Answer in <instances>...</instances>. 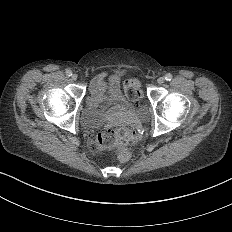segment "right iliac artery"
<instances>
[{
	"instance_id": "obj_1",
	"label": "right iliac artery",
	"mask_w": 232,
	"mask_h": 232,
	"mask_svg": "<svg viewBox=\"0 0 232 232\" xmlns=\"http://www.w3.org/2000/svg\"><path fill=\"white\" fill-rule=\"evenodd\" d=\"M66 75H67L68 77H70V76H72V72H71L70 70H67V71H66Z\"/></svg>"
}]
</instances>
